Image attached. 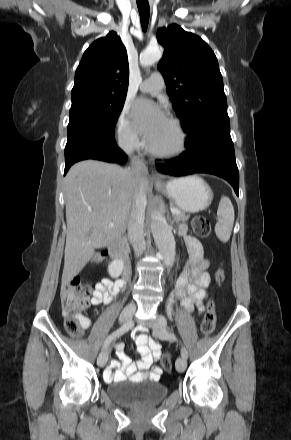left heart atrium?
I'll return each instance as SVG.
<instances>
[{"mask_svg": "<svg viewBox=\"0 0 291 440\" xmlns=\"http://www.w3.org/2000/svg\"><path fill=\"white\" fill-rule=\"evenodd\" d=\"M132 117L137 129L151 140L160 127L167 121L163 109L147 99L140 98L133 103Z\"/></svg>", "mask_w": 291, "mask_h": 440, "instance_id": "39dd6f15", "label": "left heart atrium"}]
</instances>
